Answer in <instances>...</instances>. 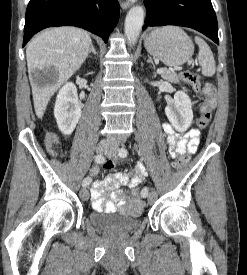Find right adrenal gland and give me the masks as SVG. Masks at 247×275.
<instances>
[{
  "instance_id": "obj_1",
  "label": "right adrenal gland",
  "mask_w": 247,
  "mask_h": 275,
  "mask_svg": "<svg viewBox=\"0 0 247 275\" xmlns=\"http://www.w3.org/2000/svg\"><path fill=\"white\" fill-rule=\"evenodd\" d=\"M93 53L94 55L98 56V53L96 52L93 44L91 43V47H90V50H89V56L90 54Z\"/></svg>"
}]
</instances>
